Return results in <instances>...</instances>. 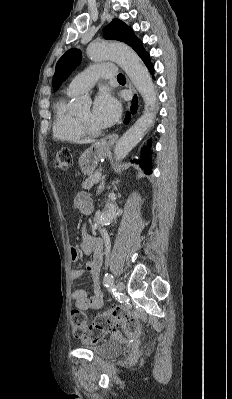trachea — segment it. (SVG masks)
Returning <instances> with one entry per match:
<instances>
[{"label": "trachea", "mask_w": 232, "mask_h": 399, "mask_svg": "<svg viewBox=\"0 0 232 399\" xmlns=\"http://www.w3.org/2000/svg\"><path fill=\"white\" fill-rule=\"evenodd\" d=\"M117 80H126V79L122 73H119V75L117 76Z\"/></svg>", "instance_id": "trachea-1"}]
</instances>
